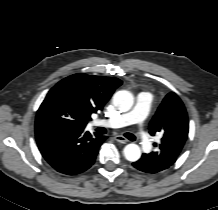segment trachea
<instances>
[{
    "mask_svg": "<svg viewBox=\"0 0 218 210\" xmlns=\"http://www.w3.org/2000/svg\"><path fill=\"white\" fill-rule=\"evenodd\" d=\"M98 132L101 134H105L106 130L104 128H98ZM124 136L131 141H135L136 137L131 133H125Z\"/></svg>",
    "mask_w": 218,
    "mask_h": 210,
    "instance_id": "trachea-1",
    "label": "trachea"
}]
</instances>
